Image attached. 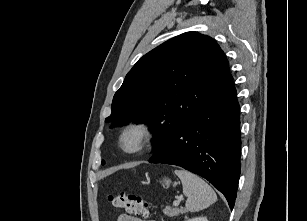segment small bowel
Wrapping results in <instances>:
<instances>
[{"instance_id":"small-bowel-1","label":"small bowel","mask_w":307,"mask_h":221,"mask_svg":"<svg viewBox=\"0 0 307 221\" xmlns=\"http://www.w3.org/2000/svg\"><path fill=\"white\" fill-rule=\"evenodd\" d=\"M117 221H144V220L130 214H121L118 216Z\"/></svg>"}]
</instances>
